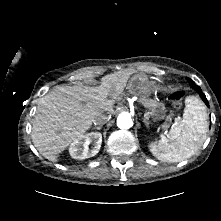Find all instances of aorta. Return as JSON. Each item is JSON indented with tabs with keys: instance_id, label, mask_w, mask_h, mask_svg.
<instances>
[{
	"instance_id": "762f6f07",
	"label": "aorta",
	"mask_w": 221,
	"mask_h": 221,
	"mask_svg": "<svg viewBox=\"0 0 221 221\" xmlns=\"http://www.w3.org/2000/svg\"><path fill=\"white\" fill-rule=\"evenodd\" d=\"M117 126L120 129H129L133 126V121L130 113L122 112L117 117Z\"/></svg>"
}]
</instances>
